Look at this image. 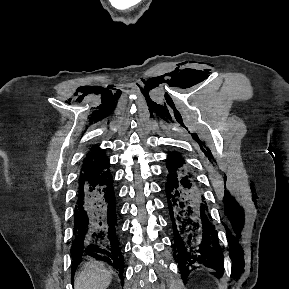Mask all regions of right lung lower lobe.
I'll use <instances>...</instances> for the list:
<instances>
[{"label": "right lung lower lobe", "instance_id": "right-lung-lower-lobe-1", "mask_svg": "<svg viewBox=\"0 0 289 289\" xmlns=\"http://www.w3.org/2000/svg\"><path fill=\"white\" fill-rule=\"evenodd\" d=\"M118 224L113 178L109 169L79 181L71 247L72 274L82 257L88 255L112 265L119 271L123 282L124 261Z\"/></svg>", "mask_w": 289, "mask_h": 289}]
</instances>
